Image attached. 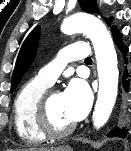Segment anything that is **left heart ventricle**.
<instances>
[{"mask_svg":"<svg viewBox=\"0 0 131 151\" xmlns=\"http://www.w3.org/2000/svg\"><path fill=\"white\" fill-rule=\"evenodd\" d=\"M49 115L50 120L55 128L61 129L71 125L73 122L70 121L66 114L63 104L62 94H54L49 100Z\"/></svg>","mask_w":131,"mask_h":151,"instance_id":"obj_1","label":"left heart ventricle"}]
</instances>
